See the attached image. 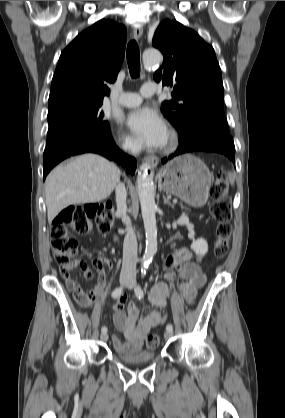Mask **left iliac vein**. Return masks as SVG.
<instances>
[{
	"label": "left iliac vein",
	"mask_w": 285,
	"mask_h": 418,
	"mask_svg": "<svg viewBox=\"0 0 285 418\" xmlns=\"http://www.w3.org/2000/svg\"><path fill=\"white\" fill-rule=\"evenodd\" d=\"M135 285H136V281H135V279L134 278H131L127 283H126V286H127V288L128 289H132V288H134L135 287ZM172 335H173V332L172 331H166L165 333H164V337L166 338V339H169V338H171L172 337Z\"/></svg>",
	"instance_id": "4c4485c4"
}]
</instances>
